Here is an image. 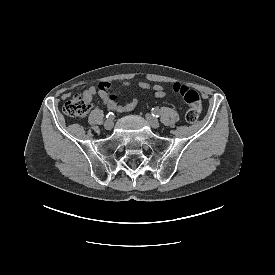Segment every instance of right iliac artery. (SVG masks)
Returning <instances> with one entry per match:
<instances>
[{
	"label": "right iliac artery",
	"mask_w": 275,
	"mask_h": 275,
	"mask_svg": "<svg viewBox=\"0 0 275 275\" xmlns=\"http://www.w3.org/2000/svg\"><path fill=\"white\" fill-rule=\"evenodd\" d=\"M106 117H107L108 119H113V113H112V112L108 113Z\"/></svg>",
	"instance_id": "right-iliac-artery-1"
}]
</instances>
